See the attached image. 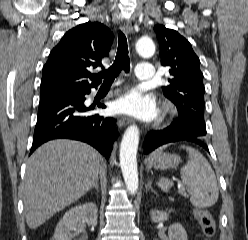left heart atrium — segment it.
Here are the masks:
<instances>
[{
	"instance_id": "1",
	"label": "left heart atrium",
	"mask_w": 248,
	"mask_h": 240,
	"mask_svg": "<svg viewBox=\"0 0 248 240\" xmlns=\"http://www.w3.org/2000/svg\"><path fill=\"white\" fill-rule=\"evenodd\" d=\"M116 108L120 113L145 120H151L157 116L154 98L136 88L126 92L116 102Z\"/></svg>"
}]
</instances>
